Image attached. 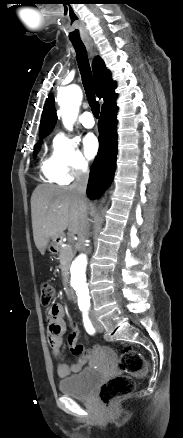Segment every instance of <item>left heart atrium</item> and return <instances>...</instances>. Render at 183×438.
I'll return each mask as SVG.
<instances>
[{
    "label": "left heart atrium",
    "mask_w": 183,
    "mask_h": 438,
    "mask_svg": "<svg viewBox=\"0 0 183 438\" xmlns=\"http://www.w3.org/2000/svg\"><path fill=\"white\" fill-rule=\"evenodd\" d=\"M83 147L86 156L91 159L93 158L99 150V142L95 135L88 134L83 140Z\"/></svg>",
    "instance_id": "left-heart-atrium-1"
}]
</instances>
